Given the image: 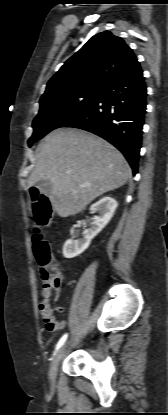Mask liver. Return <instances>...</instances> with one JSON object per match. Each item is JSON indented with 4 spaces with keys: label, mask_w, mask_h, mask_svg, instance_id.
Returning a JSON list of instances; mask_svg holds the SVG:
<instances>
[{
    "label": "liver",
    "mask_w": 168,
    "mask_h": 415,
    "mask_svg": "<svg viewBox=\"0 0 168 415\" xmlns=\"http://www.w3.org/2000/svg\"><path fill=\"white\" fill-rule=\"evenodd\" d=\"M37 152L29 187L50 180L53 189L49 200L60 217L81 212L97 197L123 186L132 175L129 164L114 146L79 129L50 132Z\"/></svg>",
    "instance_id": "obj_1"
}]
</instances>
